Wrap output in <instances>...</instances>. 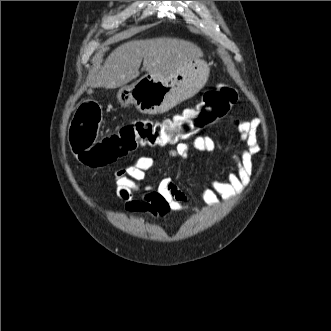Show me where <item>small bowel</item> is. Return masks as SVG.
Listing matches in <instances>:
<instances>
[{"label": "small bowel", "instance_id": "obj_1", "mask_svg": "<svg viewBox=\"0 0 331 331\" xmlns=\"http://www.w3.org/2000/svg\"><path fill=\"white\" fill-rule=\"evenodd\" d=\"M230 123L238 130L244 148L231 155L236 170L227 172L224 179L208 178V186L198 192L204 202L202 209L214 207L220 200H230L248 184L252 175V158L260 151L257 130L260 120H241L231 118ZM194 148L205 153L216 151V143L209 136L196 137L191 142H181L168 152L171 157L187 159ZM154 166V160L147 156L138 157L131 165L115 171V189L117 196L124 202L125 209L133 214H145L152 218H163L171 212L199 211V208L186 204V194L172 182L163 178L156 185L140 187L139 182L146 178V173ZM142 191L141 196L137 193Z\"/></svg>", "mask_w": 331, "mask_h": 331}]
</instances>
